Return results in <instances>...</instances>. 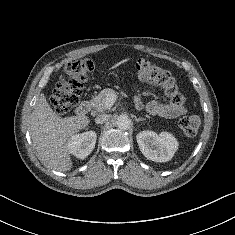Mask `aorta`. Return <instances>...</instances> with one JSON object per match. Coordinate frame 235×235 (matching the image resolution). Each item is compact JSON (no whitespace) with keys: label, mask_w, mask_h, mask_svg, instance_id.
I'll list each match as a JSON object with an SVG mask.
<instances>
[{"label":"aorta","mask_w":235,"mask_h":235,"mask_svg":"<svg viewBox=\"0 0 235 235\" xmlns=\"http://www.w3.org/2000/svg\"><path fill=\"white\" fill-rule=\"evenodd\" d=\"M116 124L119 129L127 130L131 125V119L127 115H120L117 118Z\"/></svg>","instance_id":"obj_1"}]
</instances>
